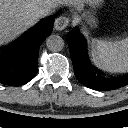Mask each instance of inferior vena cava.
<instances>
[{
  "label": "inferior vena cava",
  "instance_id": "1",
  "mask_svg": "<svg viewBox=\"0 0 128 128\" xmlns=\"http://www.w3.org/2000/svg\"><path fill=\"white\" fill-rule=\"evenodd\" d=\"M52 12V7L51 5L49 4H43L41 6H39L36 11H35V14L38 18H42V17H45L49 14H51Z\"/></svg>",
  "mask_w": 128,
  "mask_h": 128
}]
</instances>
